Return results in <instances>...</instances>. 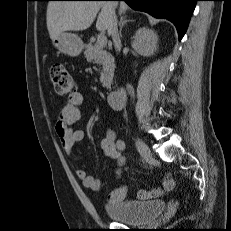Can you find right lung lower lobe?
Returning <instances> with one entry per match:
<instances>
[{"mask_svg": "<svg viewBox=\"0 0 231 231\" xmlns=\"http://www.w3.org/2000/svg\"><path fill=\"white\" fill-rule=\"evenodd\" d=\"M100 1V0H92ZM131 8L149 13L157 18L170 20L177 28L179 39L184 36L191 14L198 0H118Z\"/></svg>", "mask_w": 231, "mask_h": 231, "instance_id": "obj_1", "label": "right lung lower lobe"}]
</instances>
